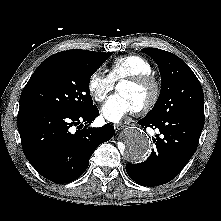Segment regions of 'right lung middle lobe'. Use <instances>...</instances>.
<instances>
[{"instance_id": "obj_1", "label": "right lung middle lobe", "mask_w": 221, "mask_h": 221, "mask_svg": "<svg viewBox=\"0 0 221 221\" xmlns=\"http://www.w3.org/2000/svg\"><path fill=\"white\" fill-rule=\"evenodd\" d=\"M111 54L100 52L88 61L48 57L24 87L20 106H46L73 114L92 109L90 78Z\"/></svg>"}]
</instances>
